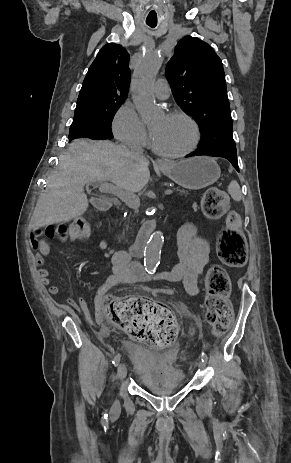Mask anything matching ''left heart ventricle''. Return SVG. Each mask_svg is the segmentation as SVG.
<instances>
[{
  "mask_svg": "<svg viewBox=\"0 0 291 463\" xmlns=\"http://www.w3.org/2000/svg\"><path fill=\"white\" fill-rule=\"evenodd\" d=\"M152 130L154 145L163 152H177L186 148L192 140V129L185 121L173 117H160L155 120Z\"/></svg>",
  "mask_w": 291,
  "mask_h": 463,
  "instance_id": "1",
  "label": "left heart ventricle"
}]
</instances>
